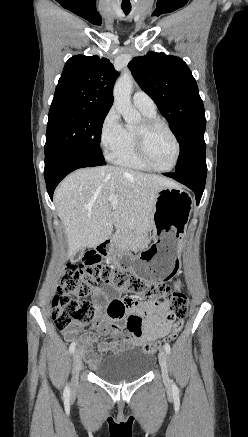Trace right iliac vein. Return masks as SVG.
Returning <instances> with one entry per match:
<instances>
[{
  "label": "right iliac vein",
  "mask_w": 248,
  "mask_h": 437,
  "mask_svg": "<svg viewBox=\"0 0 248 437\" xmlns=\"http://www.w3.org/2000/svg\"><path fill=\"white\" fill-rule=\"evenodd\" d=\"M83 352L80 348L76 349L73 353V379L72 384L75 386L78 382L79 371L81 368Z\"/></svg>",
  "instance_id": "63e3f726"
}]
</instances>
